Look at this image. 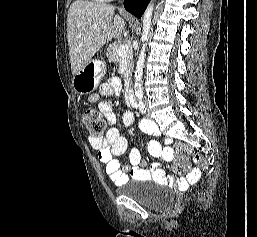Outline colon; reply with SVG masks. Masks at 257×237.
Segmentation results:
<instances>
[{"label":"colon","instance_id":"1","mask_svg":"<svg viewBox=\"0 0 257 237\" xmlns=\"http://www.w3.org/2000/svg\"><path fill=\"white\" fill-rule=\"evenodd\" d=\"M83 122L88 131L94 137H101L106 129V122L102 116L93 109H86L83 113ZM175 151L178 158L174 161L173 169L176 173H182L188 168V163L184 159L188 155H192L195 162H201L199 154L195 153L191 146L188 144H178L175 146Z\"/></svg>","mask_w":257,"mask_h":237}]
</instances>
